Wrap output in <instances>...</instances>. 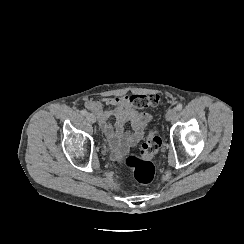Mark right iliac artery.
<instances>
[{"instance_id":"right-iliac-artery-1","label":"right iliac artery","mask_w":244,"mask_h":244,"mask_svg":"<svg viewBox=\"0 0 244 244\" xmlns=\"http://www.w3.org/2000/svg\"><path fill=\"white\" fill-rule=\"evenodd\" d=\"M80 113H81V115L85 116L87 114V111L83 109L80 111Z\"/></svg>"}]
</instances>
